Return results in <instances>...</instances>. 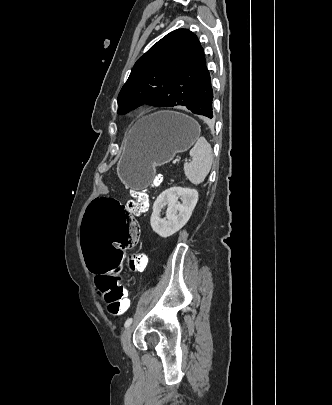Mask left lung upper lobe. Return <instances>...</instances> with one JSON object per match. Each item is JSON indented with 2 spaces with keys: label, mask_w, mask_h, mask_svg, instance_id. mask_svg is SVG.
<instances>
[{
  "label": "left lung upper lobe",
  "mask_w": 332,
  "mask_h": 405,
  "mask_svg": "<svg viewBox=\"0 0 332 405\" xmlns=\"http://www.w3.org/2000/svg\"><path fill=\"white\" fill-rule=\"evenodd\" d=\"M205 70L197 36L187 29L172 31L135 63L118 95L119 112L127 113L143 103L188 107Z\"/></svg>",
  "instance_id": "obj_1"
}]
</instances>
